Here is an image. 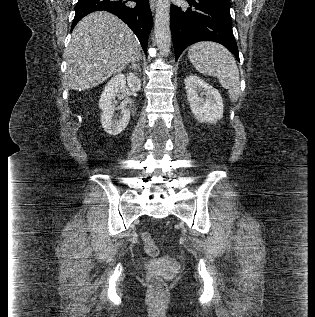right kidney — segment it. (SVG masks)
I'll list each match as a JSON object with an SVG mask.
<instances>
[{"instance_id":"right-kidney-1","label":"right kidney","mask_w":315,"mask_h":317,"mask_svg":"<svg viewBox=\"0 0 315 317\" xmlns=\"http://www.w3.org/2000/svg\"><path fill=\"white\" fill-rule=\"evenodd\" d=\"M137 92L141 89V80L134 73H129L126 76L123 74H117L107 83L105 86L100 100L99 108L102 110L101 113V124L103 129L109 135L120 134L128 125L130 120V110L124 108L121 112L120 119H114L115 112V97L120 94H125L128 88Z\"/></svg>"}]
</instances>
